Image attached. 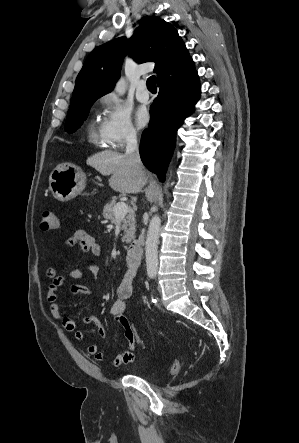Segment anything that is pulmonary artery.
I'll return each instance as SVG.
<instances>
[{
	"mask_svg": "<svg viewBox=\"0 0 299 443\" xmlns=\"http://www.w3.org/2000/svg\"><path fill=\"white\" fill-rule=\"evenodd\" d=\"M136 98L139 102H147L149 100V93L146 89V82L140 81L137 87Z\"/></svg>",
	"mask_w": 299,
	"mask_h": 443,
	"instance_id": "obj_1",
	"label": "pulmonary artery"
}]
</instances>
